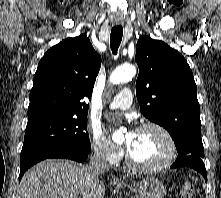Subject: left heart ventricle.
Wrapping results in <instances>:
<instances>
[{
	"mask_svg": "<svg viewBox=\"0 0 221 198\" xmlns=\"http://www.w3.org/2000/svg\"><path fill=\"white\" fill-rule=\"evenodd\" d=\"M125 143L132 159L144 166L160 163L168 153L166 139L155 129L130 133L126 136Z\"/></svg>",
	"mask_w": 221,
	"mask_h": 198,
	"instance_id": "left-heart-ventricle-1",
	"label": "left heart ventricle"
}]
</instances>
